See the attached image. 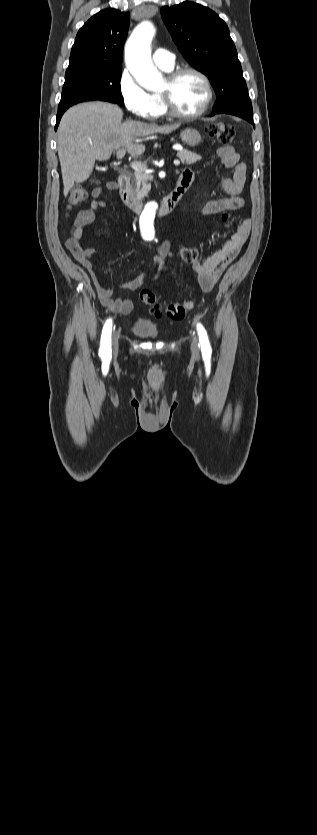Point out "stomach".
<instances>
[{
	"label": "stomach",
	"instance_id": "stomach-1",
	"mask_svg": "<svg viewBox=\"0 0 317 835\" xmlns=\"http://www.w3.org/2000/svg\"><path fill=\"white\" fill-rule=\"evenodd\" d=\"M180 136L185 144L192 147L199 145V143L201 142L200 133L193 128H186L182 130Z\"/></svg>",
	"mask_w": 317,
	"mask_h": 835
}]
</instances>
